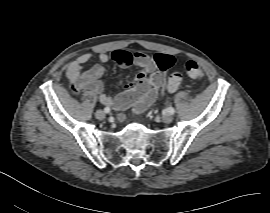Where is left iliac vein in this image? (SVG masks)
I'll list each match as a JSON object with an SVG mask.
<instances>
[{
    "instance_id": "obj_1",
    "label": "left iliac vein",
    "mask_w": 270,
    "mask_h": 213,
    "mask_svg": "<svg viewBox=\"0 0 270 213\" xmlns=\"http://www.w3.org/2000/svg\"><path fill=\"white\" fill-rule=\"evenodd\" d=\"M162 120L164 123L168 124V123H171L172 120H173V116L171 114H165L163 117H162Z\"/></svg>"
}]
</instances>
